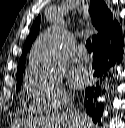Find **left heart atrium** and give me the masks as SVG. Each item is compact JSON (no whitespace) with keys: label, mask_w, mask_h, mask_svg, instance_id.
Masks as SVG:
<instances>
[{"label":"left heart atrium","mask_w":125,"mask_h":128,"mask_svg":"<svg viewBox=\"0 0 125 128\" xmlns=\"http://www.w3.org/2000/svg\"><path fill=\"white\" fill-rule=\"evenodd\" d=\"M69 82H70V84L72 86H79V85L82 84L83 78H82L81 74H79V73H73L70 76Z\"/></svg>","instance_id":"left-heart-atrium-1"}]
</instances>
